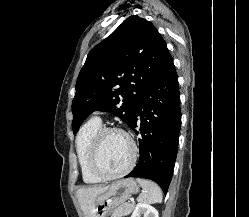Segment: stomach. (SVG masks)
Masks as SVG:
<instances>
[{
  "label": "stomach",
  "instance_id": "stomach-1",
  "mask_svg": "<svg viewBox=\"0 0 249 217\" xmlns=\"http://www.w3.org/2000/svg\"><path fill=\"white\" fill-rule=\"evenodd\" d=\"M139 191V186L133 178H125L113 182L108 190L95 200L96 217H105L115 208Z\"/></svg>",
  "mask_w": 249,
  "mask_h": 217
}]
</instances>
